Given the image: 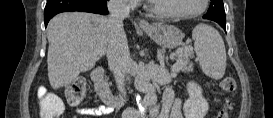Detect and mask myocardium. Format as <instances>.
Here are the masks:
<instances>
[{
  "label": "myocardium",
  "mask_w": 273,
  "mask_h": 118,
  "mask_svg": "<svg viewBox=\"0 0 273 118\" xmlns=\"http://www.w3.org/2000/svg\"><path fill=\"white\" fill-rule=\"evenodd\" d=\"M207 6H208V0H201L200 8L195 11L188 12V13H174V12L160 11L155 8L154 1H148L146 8L148 9L150 13H152L153 15L157 17L166 18V19H183V18L195 17L202 14L207 9Z\"/></svg>",
  "instance_id": "1"
}]
</instances>
